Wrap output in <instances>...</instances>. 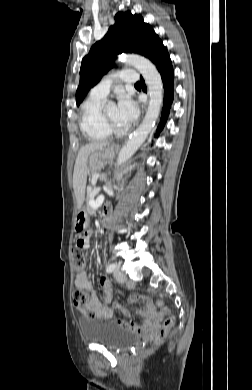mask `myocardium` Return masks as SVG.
Masks as SVG:
<instances>
[{"mask_svg": "<svg viewBox=\"0 0 252 390\" xmlns=\"http://www.w3.org/2000/svg\"><path fill=\"white\" fill-rule=\"evenodd\" d=\"M102 120H103V123L105 125V127L111 132V133H121L123 132V127L121 126H117L116 124H114L113 122H111L107 115L105 114V112L103 111L102 112Z\"/></svg>", "mask_w": 252, "mask_h": 390, "instance_id": "obj_1", "label": "myocardium"}]
</instances>
